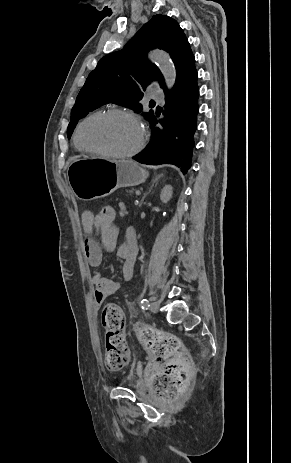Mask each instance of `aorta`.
Here are the masks:
<instances>
[{
	"mask_svg": "<svg viewBox=\"0 0 291 463\" xmlns=\"http://www.w3.org/2000/svg\"><path fill=\"white\" fill-rule=\"evenodd\" d=\"M150 57L159 66L167 87L171 89L175 83L176 69L170 57L166 53L160 51L151 52Z\"/></svg>",
	"mask_w": 291,
	"mask_h": 463,
	"instance_id": "aorta-1",
	"label": "aorta"
}]
</instances>
